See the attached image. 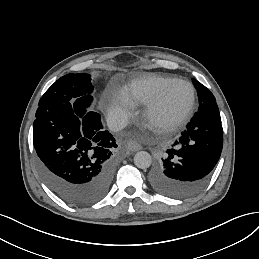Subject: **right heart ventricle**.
Returning a JSON list of instances; mask_svg holds the SVG:
<instances>
[{"instance_id": "e07e8e85", "label": "right heart ventricle", "mask_w": 259, "mask_h": 259, "mask_svg": "<svg viewBox=\"0 0 259 259\" xmlns=\"http://www.w3.org/2000/svg\"><path fill=\"white\" fill-rule=\"evenodd\" d=\"M166 81H156L147 75L126 87L124 92L137 104V106H139L152 99L155 90Z\"/></svg>"}]
</instances>
